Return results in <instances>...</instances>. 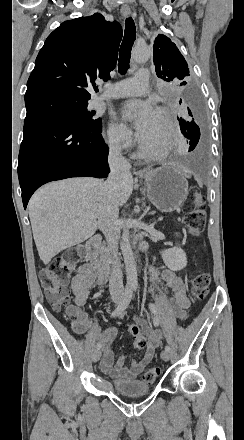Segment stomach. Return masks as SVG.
Here are the masks:
<instances>
[{
	"label": "stomach",
	"mask_w": 244,
	"mask_h": 440,
	"mask_svg": "<svg viewBox=\"0 0 244 440\" xmlns=\"http://www.w3.org/2000/svg\"><path fill=\"white\" fill-rule=\"evenodd\" d=\"M147 196L160 212H174L188 196V182L174 166H161L143 174Z\"/></svg>",
	"instance_id": "stomach-1"
}]
</instances>
